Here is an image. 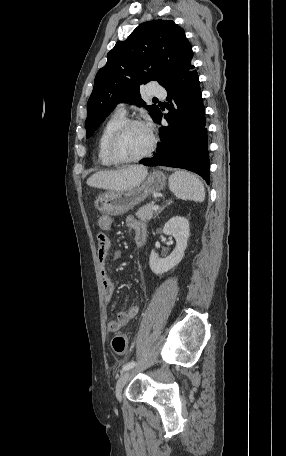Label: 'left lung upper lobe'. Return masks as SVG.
<instances>
[{
	"mask_svg": "<svg viewBox=\"0 0 286 456\" xmlns=\"http://www.w3.org/2000/svg\"><path fill=\"white\" fill-rule=\"evenodd\" d=\"M193 58L185 32L172 20L140 24L107 54V63L94 81L87 103L86 137L89 138L118 102L144 106L139 87L156 80L165 87ZM156 120L160 109L145 106Z\"/></svg>",
	"mask_w": 286,
	"mask_h": 456,
	"instance_id": "left-lung-upper-lobe-1",
	"label": "left lung upper lobe"
}]
</instances>
